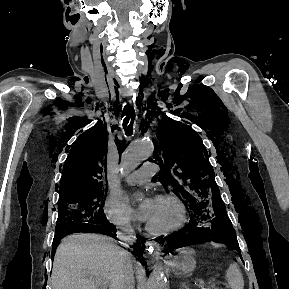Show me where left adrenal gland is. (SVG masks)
Instances as JSON below:
<instances>
[{"label": "left adrenal gland", "instance_id": "left-adrenal-gland-1", "mask_svg": "<svg viewBox=\"0 0 289 289\" xmlns=\"http://www.w3.org/2000/svg\"><path fill=\"white\" fill-rule=\"evenodd\" d=\"M180 289H189L187 282H182Z\"/></svg>", "mask_w": 289, "mask_h": 289}]
</instances>
